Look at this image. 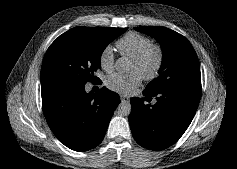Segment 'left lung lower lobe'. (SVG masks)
<instances>
[{"label":"left lung lower lobe","mask_w":237,"mask_h":169,"mask_svg":"<svg viewBox=\"0 0 237 169\" xmlns=\"http://www.w3.org/2000/svg\"><path fill=\"white\" fill-rule=\"evenodd\" d=\"M156 97L153 106L145 105L144 99H130L132 111L129 124L136 142L150 150H163L173 145L186 131L197 110L201 87H170L149 94Z\"/></svg>","instance_id":"left-lung-lower-lobe-1"}]
</instances>
